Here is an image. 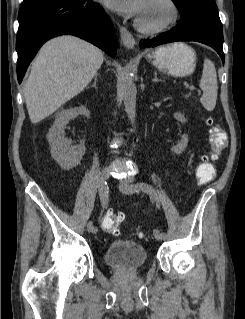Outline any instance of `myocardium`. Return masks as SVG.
Segmentation results:
<instances>
[{"label":"myocardium","instance_id":"f54148a6","mask_svg":"<svg viewBox=\"0 0 245 319\" xmlns=\"http://www.w3.org/2000/svg\"><path fill=\"white\" fill-rule=\"evenodd\" d=\"M169 9V18L160 24H146L139 18L135 21V27L146 34H159L174 26L179 19V9L174 0H160Z\"/></svg>","mask_w":245,"mask_h":319}]
</instances>
